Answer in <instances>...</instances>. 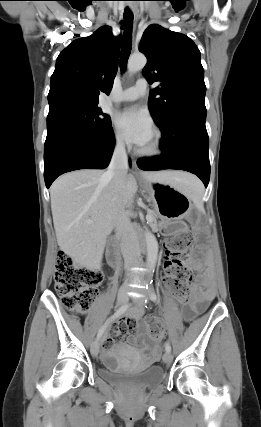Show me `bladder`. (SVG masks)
Here are the masks:
<instances>
[{
  "label": "bladder",
  "instance_id": "obj_1",
  "mask_svg": "<svg viewBox=\"0 0 261 427\" xmlns=\"http://www.w3.org/2000/svg\"><path fill=\"white\" fill-rule=\"evenodd\" d=\"M98 375L111 384L141 390L156 387L165 378L164 369L160 366H151L145 370H134L122 366L118 358L111 352L102 359Z\"/></svg>",
  "mask_w": 261,
  "mask_h": 427
}]
</instances>
